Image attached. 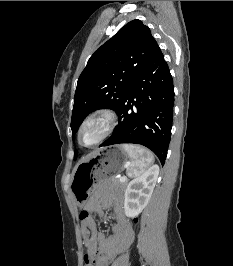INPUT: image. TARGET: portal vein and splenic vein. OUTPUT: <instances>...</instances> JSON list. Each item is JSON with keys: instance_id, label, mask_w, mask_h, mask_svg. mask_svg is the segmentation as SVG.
Returning <instances> with one entry per match:
<instances>
[{"instance_id": "portal-vein-and-splenic-vein-1", "label": "portal vein and splenic vein", "mask_w": 233, "mask_h": 266, "mask_svg": "<svg viewBox=\"0 0 233 266\" xmlns=\"http://www.w3.org/2000/svg\"><path fill=\"white\" fill-rule=\"evenodd\" d=\"M119 180H120L121 182H125V181L127 180V178H126L125 176H122V177L119 178Z\"/></svg>"}]
</instances>
